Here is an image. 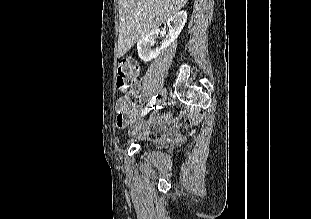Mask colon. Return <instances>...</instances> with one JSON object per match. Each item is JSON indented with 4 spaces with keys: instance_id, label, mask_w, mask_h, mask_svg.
I'll list each match as a JSON object with an SVG mask.
<instances>
[{
    "instance_id": "1",
    "label": "colon",
    "mask_w": 311,
    "mask_h": 219,
    "mask_svg": "<svg viewBox=\"0 0 311 219\" xmlns=\"http://www.w3.org/2000/svg\"><path fill=\"white\" fill-rule=\"evenodd\" d=\"M139 74V66L137 62L132 58H122L117 62V88L124 94L119 100L122 104H130L132 98L130 94L135 83V80ZM168 128L166 127L165 131ZM159 136V134H155Z\"/></svg>"
}]
</instances>
